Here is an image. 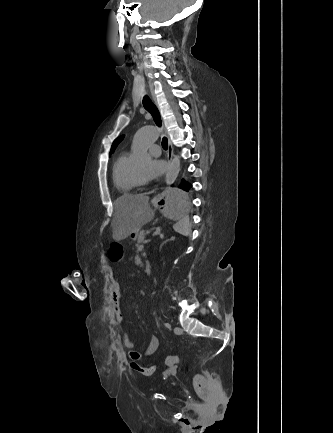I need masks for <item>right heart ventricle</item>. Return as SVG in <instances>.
<instances>
[{
  "mask_svg": "<svg viewBox=\"0 0 333 433\" xmlns=\"http://www.w3.org/2000/svg\"><path fill=\"white\" fill-rule=\"evenodd\" d=\"M131 166L132 165L126 152H121L113 164V182L121 194H127L134 188V185L130 179Z\"/></svg>",
  "mask_w": 333,
  "mask_h": 433,
  "instance_id": "obj_1",
  "label": "right heart ventricle"
}]
</instances>
